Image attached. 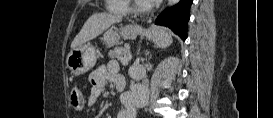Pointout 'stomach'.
Instances as JSON below:
<instances>
[{"label":"stomach","mask_w":273,"mask_h":118,"mask_svg":"<svg viewBox=\"0 0 273 118\" xmlns=\"http://www.w3.org/2000/svg\"><path fill=\"white\" fill-rule=\"evenodd\" d=\"M141 32V28L136 25H127L119 31L113 28L107 29L102 37L104 43L111 47L117 45L121 37L124 39H135ZM97 60L96 49L92 44H82L70 51L66 58V65L75 76L85 74L92 69Z\"/></svg>","instance_id":"0dacf381"}]
</instances>
